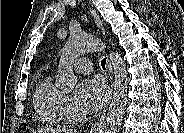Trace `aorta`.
I'll use <instances>...</instances> for the list:
<instances>
[{
	"label": "aorta",
	"mask_w": 184,
	"mask_h": 133,
	"mask_svg": "<svg viewBox=\"0 0 184 133\" xmlns=\"http://www.w3.org/2000/svg\"><path fill=\"white\" fill-rule=\"evenodd\" d=\"M106 45L99 38L87 34L71 35L66 42L59 62L57 78L59 87L72 91L77 77L74 75L72 63L79 56L94 51H105ZM114 70L113 99L101 127L100 133H118L127 104L128 77L124 60L118 53L110 54Z\"/></svg>",
	"instance_id": "762f6f07"
}]
</instances>
